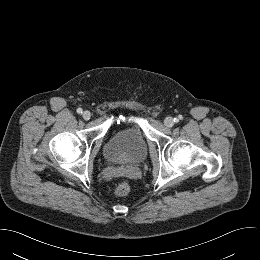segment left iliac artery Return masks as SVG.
Here are the masks:
<instances>
[{"instance_id": "44dca946", "label": "left iliac artery", "mask_w": 260, "mask_h": 260, "mask_svg": "<svg viewBox=\"0 0 260 260\" xmlns=\"http://www.w3.org/2000/svg\"><path fill=\"white\" fill-rule=\"evenodd\" d=\"M179 119H182V116L180 115L179 118H174V122H179Z\"/></svg>"}]
</instances>
